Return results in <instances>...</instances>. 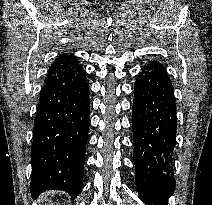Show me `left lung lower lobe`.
<instances>
[{"mask_svg": "<svg viewBox=\"0 0 212 205\" xmlns=\"http://www.w3.org/2000/svg\"><path fill=\"white\" fill-rule=\"evenodd\" d=\"M135 178L145 203L167 205L175 189L170 159L177 129L176 104L166 69L150 61L139 73L132 107Z\"/></svg>", "mask_w": 212, "mask_h": 205, "instance_id": "obj_1", "label": "left lung lower lobe"}]
</instances>
